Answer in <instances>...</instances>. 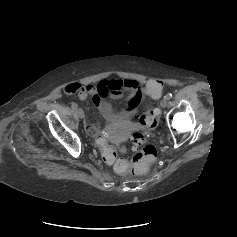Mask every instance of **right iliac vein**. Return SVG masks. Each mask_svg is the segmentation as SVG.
<instances>
[{
    "label": "right iliac vein",
    "mask_w": 237,
    "mask_h": 237,
    "mask_svg": "<svg viewBox=\"0 0 237 237\" xmlns=\"http://www.w3.org/2000/svg\"><path fill=\"white\" fill-rule=\"evenodd\" d=\"M76 113H77V115L81 118V119H83L84 118V111L81 109V108H78L77 110H76Z\"/></svg>",
    "instance_id": "obj_1"
}]
</instances>
